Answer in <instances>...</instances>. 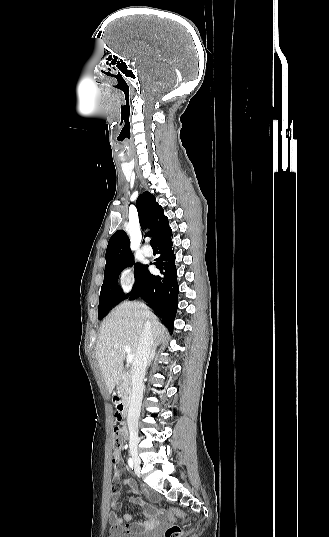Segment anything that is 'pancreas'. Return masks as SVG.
<instances>
[{
	"label": "pancreas",
	"instance_id": "cf45deb5",
	"mask_svg": "<svg viewBox=\"0 0 329 537\" xmlns=\"http://www.w3.org/2000/svg\"><path fill=\"white\" fill-rule=\"evenodd\" d=\"M119 391L125 396L131 394V387L127 378H124L123 381L119 384Z\"/></svg>",
	"mask_w": 329,
	"mask_h": 537
}]
</instances>
